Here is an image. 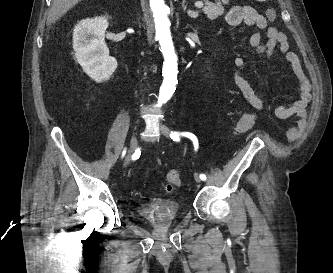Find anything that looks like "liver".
I'll return each mask as SVG.
<instances>
[{
    "label": "liver",
    "mask_w": 333,
    "mask_h": 273,
    "mask_svg": "<svg viewBox=\"0 0 333 273\" xmlns=\"http://www.w3.org/2000/svg\"><path fill=\"white\" fill-rule=\"evenodd\" d=\"M81 0H53L48 24L56 22Z\"/></svg>",
    "instance_id": "liver-1"
}]
</instances>
